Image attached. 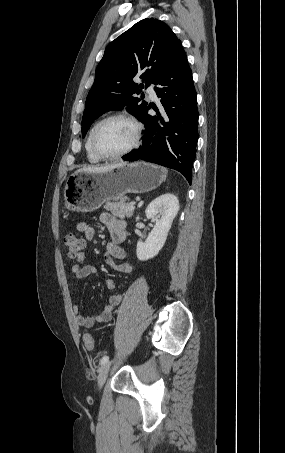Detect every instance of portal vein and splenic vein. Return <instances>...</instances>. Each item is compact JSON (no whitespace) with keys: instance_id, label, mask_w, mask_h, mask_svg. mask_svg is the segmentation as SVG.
Masks as SVG:
<instances>
[{"instance_id":"1","label":"portal vein and splenic vein","mask_w":285,"mask_h":453,"mask_svg":"<svg viewBox=\"0 0 285 453\" xmlns=\"http://www.w3.org/2000/svg\"><path fill=\"white\" fill-rule=\"evenodd\" d=\"M134 205H135V203H131V204L129 205L128 208H129L130 210H134V209H135V206H134Z\"/></svg>"}]
</instances>
